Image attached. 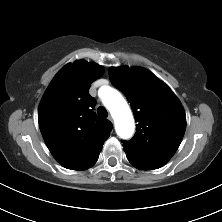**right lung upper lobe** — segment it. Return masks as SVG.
Returning a JSON list of instances; mask_svg holds the SVG:
<instances>
[{
	"label": "right lung upper lobe",
	"instance_id": "cb5924a9",
	"mask_svg": "<svg viewBox=\"0 0 222 222\" xmlns=\"http://www.w3.org/2000/svg\"><path fill=\"white\" fill-rule=\"evenodd\" d=\"M102 66L86 61L65 65L45 91L38 110L41 133L54 158L65 168L85 170L98 160L112 123L93 111L92 82Z\"/></svg>",
	"mask_w": 222,
	"mask_h": 222
}]
</instances>
